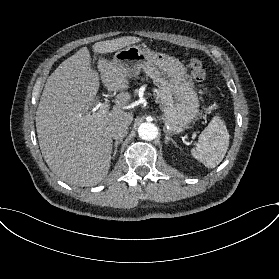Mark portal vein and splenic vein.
I'll list each match as a JSON object with an SVG mask.
<instances>
[{"instance_id":"obj_1","label":"portal vein and splenic vein","mask_w":279,"mask_h":279,"mask_svg":"<svg viewBox=\"0 0 279 279\" xmlns=\"http://www.w3.org/2000/svg\"><path fill=\"white\" fill-rule=\"evenodd\" d=\"M96 108H97V109L100 108V111H102V112H105V111H106V110H105V107H104L103 105H101V104H99Z\"/></svg>"}]
</instances>
